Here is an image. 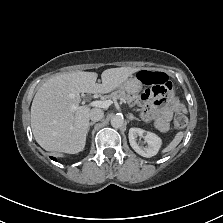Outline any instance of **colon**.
<instances>
[{"instance_id":"colon-1","label":"colon","mask_w":223,"mask_h":223,"mask_svg":"<svg viewBox=\"0 0 223 223\" xmlns=\"http://www.w3.org/2000/svg\"><path fill=\"white\" fill-rule=\"evenodd\" d=\"M138 79L145 85H169V79L166 74L162 72L141 71L137 74ZM174 126L177 129H183L187 125V117L178 112L174 117Z\"/></svg>"}]
</instances>
